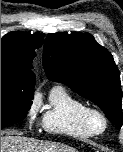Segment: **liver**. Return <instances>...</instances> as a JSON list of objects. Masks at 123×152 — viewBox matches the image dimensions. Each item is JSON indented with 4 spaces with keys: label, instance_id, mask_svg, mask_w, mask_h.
I'll return each instance as SVG.
<instances>
[{
    "label": "liver",
    "instance_id": "obj_1",
    "mask_svg": "<svg viewBox=\"0 0 123 152\" xmlns=\"http://www.w3.org/2000/svg\"><path fill=\"white\" fill-rule=\"evenodd\" d=\"M1 152H77L76 149L49 141L14 135L1 136Z\"/></svg>",
    "mask_w": 123,
    "mask_h": 152
}]
</instances>
